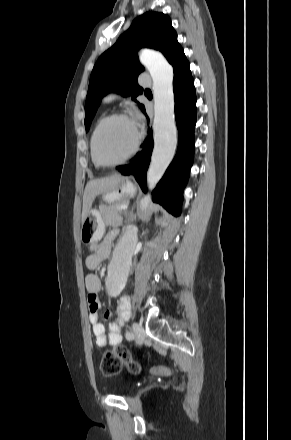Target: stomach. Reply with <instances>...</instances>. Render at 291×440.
I'll return each instance as SVG.
<instances>
[{"label":"stomach","instance_id":"obj_1","mask_svg":"<svg viewBox=\"0 0 291 440\" xmlns=\"http://www.w3.org/2000/svg\"><path fill=\"white\" fill-rule=\"evenodd\" d=\"M135 194V185L131 181L124 179L114 189L103 193V200L107 203H119L123 202L127 197H133ZM104 230L105 225L101 214L96 209H91L82 222L81 240L85 243L92 242L102 236Z\"/></svg>","mask_w":291,"mask_h":440}]
</instances>
